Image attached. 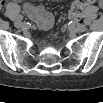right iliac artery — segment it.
Returning a JSON list of instances; mask_svg holds the SVG:
<instances>
[{
	"label": "right iliac artery",
	"mask_w": 103,
	"mask_h": 103,
	"mask_svg": "<svg viewBox=\"0 0 103 103\" xmlns=\"http://www.w3.org/2000/svg\"><path fill=\"white\" fill-rule=\"evenodd\" d=\"M17 20H18V21L23 20V16H22V15H18Z\"/></svg>",
	"instance_id": "1"
}]
</instances>
